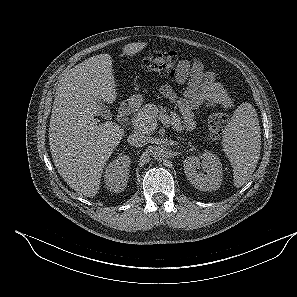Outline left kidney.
<instances>
[{"label": "left kidney", "mask_w": 297, "mask_h": 297, "mask_svg": "<svg viewBox=\"0 0 297 297\" xmlns=\"http://www.w3.org/2000/svg\"><path fill=\"white\" fill-rule=\"evenodd\" d=\"M184 172L190 183L202 191L217 190L222 181V164L219 158L210 151L203 154V159L190 156L183 162ZM202 168L206 174L198 172Z\"/></svg>", "instance_id": "obj_1"}]
</instances>
